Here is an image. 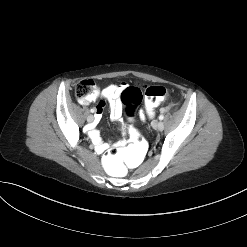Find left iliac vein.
<instances>
[{
    "mask_svg": "<svg viewBox=\"0 0 247 247\" xmlns=\"http://www.w3.org/2000/svg\"><path fill=\"white\" fill-rule=\"evenodd\" d=\"M154 128L158 131H162L164 129V124L163 122L159 121L154 124Z\"/></svg>",
    "mask_w": 247,
    "mask_h": 247,
    "instance_id": "left-iliac-vein-1",
    "label": "left iliac vein"
}]
</instances>
